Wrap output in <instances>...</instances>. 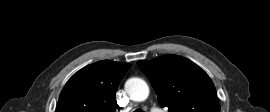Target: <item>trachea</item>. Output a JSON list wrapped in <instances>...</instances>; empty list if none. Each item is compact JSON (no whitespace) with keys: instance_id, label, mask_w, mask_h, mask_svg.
<instances>
[{"instance_id":"obj_1","label":"trachea","mask_w":270,"mask_h":112,"mask_svg":"<svg viewBox=\"0 0 270 112\" xmlns=\"http://www.w3.org/2000/svg\"><path fill=\"white\" fill-rule=\"evenodd\" d=\"M134 112H144L141 109H136Z\"/></svg>"}]
</instances>
